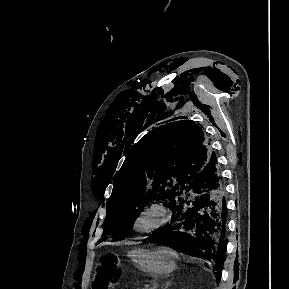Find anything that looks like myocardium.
<instances>
[{
	"label": "myocardium",
	"instance_id": "obj_1",
	"mask_svg": "<svg viewBox=\"0 0 289 289\" xmlns=\"http://www.w3.org/2000/svg\"><path fill=\"white\" fill-rule=\"evenodd\" d=\"M156 211L159 214V222L149 228H139L138 223L139 221L149 212ZM171 212L169 208L161 203V202H152L148 205H146L136 216L134 223H133V229L140 233V234H151L154 233L163 227L167 225V223L170 220Z\"/></svg>",
	"mask_w": 289,
	"mask_h": 289
}]
</instances>
